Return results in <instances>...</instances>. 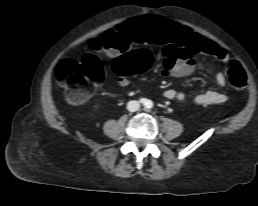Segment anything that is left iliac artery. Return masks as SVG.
<instances>
[{"instance_id":"obj_1","label":"left iliac artery","mask_w":258,"mask_h":206,"mask_svg":"<svg viewBox=\"0 0 258 206\" xmlns=\"http://www.w3.org/2000/svg\"><path fill=\"white\" fill-rule=\"evenodd\" d=\"M150 107H151V104H150V105L148 104V105H147V108H150Z\"/></svg>"}]
</instances>
